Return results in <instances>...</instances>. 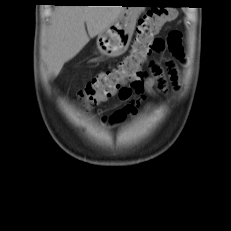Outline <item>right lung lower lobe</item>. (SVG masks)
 Instances as JSON below:
<instances>
[{
  "label": "right lung lower lobe",
  "instance_id": "98d812e1",
  "mask_svg": "<svg viewBox=\"0 0 231 231\" xmlns=\"http://www.w3.org/2000/svg\"><path fill=\"white\" fill-rule=\"evenodd\" d=\"M59 4H66L65 2H61V3H59Z\"/></svg>",
  "mask_w": 231,
  "mask_h": 231
}]
</instances>
